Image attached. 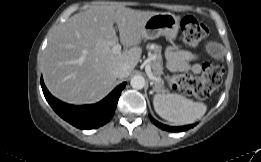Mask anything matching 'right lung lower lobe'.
I'll return each mask as SVG.
<instances>
[{
    "mask_svg": "<svg viewBox=\"0 0 261 162\" xmlns=\"http://www.w3.org/2000/svg\"><path fill=\"white\" fill-rule=\"evenodd\" d=\"M126 83L117 86L106 98L92 105L74 106L61 102L47 90L41 78L44 96L53 110L65 121L79 129H94L106 124L113 116L121 91Z\"/></svg>",
    "mask_w": 261,
    "mask_h": 162,
    "instance_id": "right-lung-lower-lobe-1",
    "label": "right lung lower lobe"
}]
</instances>
